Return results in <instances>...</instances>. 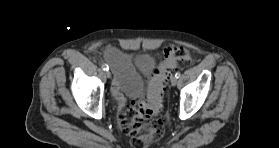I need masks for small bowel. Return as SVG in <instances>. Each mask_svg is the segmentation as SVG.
<instances>
[{
    "mask_svg": "<svg viewBox=\"0 0 279 148\" xmlns=\"http://www.w3.org/2000/svg\"><path fill=\"white\" fill-rule=\"evenodd\" d=\"M105 59L114 69V81L112 86L113 95L121 110L125 105V92L131 98H137L142 92L143 81L139 74L128 63L127 58L115 49L105 52Z\"/></svg>",
    "mask_w": 279,
    "mask_h": 148,
    "instance_id": "small-bowel-1",
    "label": "small bowel"
}]
</instances>
